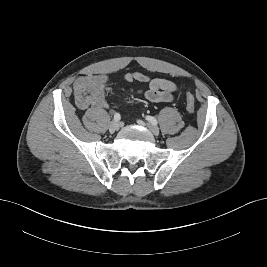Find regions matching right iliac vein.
<instances>
[{"mask_svg":"<svg viewBox=\"0 0 267 267\" xmlns=\"http://www.w3.org/2000/svg\"><path fill=\"white\" fill-rule=\"evenodd\" d=\"M119 129V123L117 121H112L109 125V131L111 133L116 132Z\"/></svg>","mask_w":267,"mask_h":267,"instance_id":"1","label":"right iliac vein"}]
</instances>
